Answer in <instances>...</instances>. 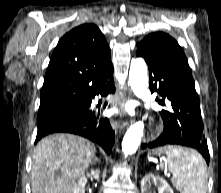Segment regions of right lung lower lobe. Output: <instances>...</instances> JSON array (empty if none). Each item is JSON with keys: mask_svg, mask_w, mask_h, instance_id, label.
<instances>
[{"mask_svg": "<svg viewBox=\"0 0 221 193\" xmlns=\"http://www.w3.org/2000/svg\"><path fill=\"white\" fill-rule=\"evenodd\" d=\"M114 91L115 87L112 68L101 75L93 84L91 92L85 98L87 105L86 113L69 122L48 129L38 130L35 143L42 137L52 133H73L88 138L93 142H97L107 154H110L115 141V135L109 120L101 117L100 112L90 111L88 107L91 105L92 99L96 95L101 94L102 96H106Z\"/></svg>", "mask_w": 221, "mask_h": 193, "instance_id": "98d812e1", "label": "right lung lower lobe"}]
</instances>
